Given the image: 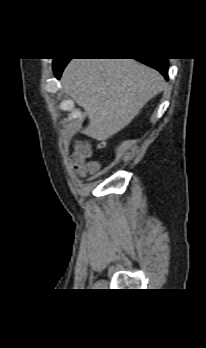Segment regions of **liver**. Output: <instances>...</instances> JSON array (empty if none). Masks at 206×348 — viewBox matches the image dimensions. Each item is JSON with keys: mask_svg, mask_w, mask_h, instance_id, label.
Here are the masks:
<instances>
[{"mask_svg": "<svg viewBox=\"0 0 206 348\" xmlns=\"http://www.w3.org/2000/svg\"><path fill=\"white\" fill-rule=\"evenodd\" d=\"M61 82L64 92L88 116L83 132L99 141L130 124L165 88L159 72L134 59H72Z\"/></svg>", "mask_w": 206, "mask_h": 348, "instance_id": "6515ba94", "label": "liver"}]
</instances>
